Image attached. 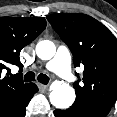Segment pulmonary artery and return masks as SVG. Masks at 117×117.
<instances>
[{
    "instance_id": "obj_1",
    "label": "pulmonary artery",
    "mask_w": 117,
    "mask_h": 117,
    "mask_svg": "<svg viewBox=\"0 0 117 117\" xmlns=\"http://www.w3.org/2000/svg\"><path fill=\"white\" fill-rule=\"evenodd\" d=\"M71 61L72 56L70 50L66 46L61 45L54 58L47 63L46 68L62 79L71 82L73 80Z\"/></svg>"
}]
</instances>
